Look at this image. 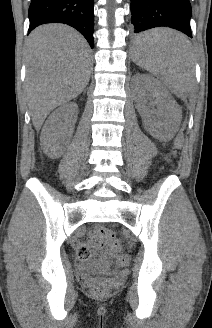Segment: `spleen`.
<instances>
[{"instance_id": "3e777b00", "label": "spleen", "mask_w": 212, "mask_h": 328, "mask_svg": "<svg viewBox=\"0 0 212 328\" xmlns=\"http://www.w3.org/2000/svg\"><path fill=\"white\" fill-rule=\"evenodd\" d=\"M134 62L159 77L176 95H185L194 87V62L188 39L169 29H153L139 35Z\"/></svg>"}]
</instances>
